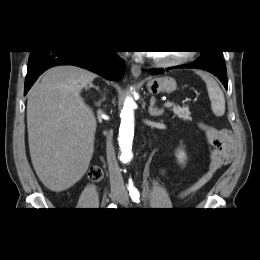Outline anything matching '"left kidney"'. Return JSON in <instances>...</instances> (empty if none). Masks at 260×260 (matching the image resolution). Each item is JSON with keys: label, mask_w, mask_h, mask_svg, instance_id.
<instances>
[{"label": "left kidney", "mask_w": 260, "mask_h": 260, "mask_svg": "<svg viewBox=\"0 0 260 260\" xmlns=\"http://www.w3.org/2000/svg\"><path fill=\"white\" fill-rule=\"evenodd\" d=\"M176 154H177V157L179 159H181V160L183 159V157H184V152L183 151L178 150V152Z\"/></svg>", "instance_id": "1"}]
</instances>
